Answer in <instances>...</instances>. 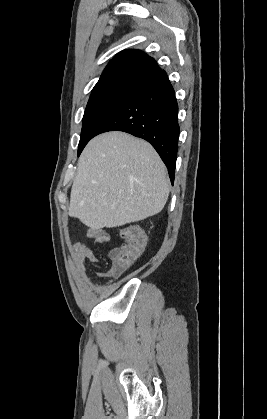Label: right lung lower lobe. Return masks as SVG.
I'll return each mask as SVG.
<instances>
[{"label":"right lung lower lobe","instance_id":"right-lung-lower-lobe-1","mask_svg":"<svg viewBox=\"0 0 267 419\" xmlns=\"http://www.w3.org/2000/svg\"><path fill=\"white\" fill-rule=\"evenodd\" d=\"M178 105L164 70L149 78L98 126L94 136L123 131L148 141L165 163L173 184L178 150Z\"/></svg>","mask_w":267,"mask_h":419}]
</instances>
